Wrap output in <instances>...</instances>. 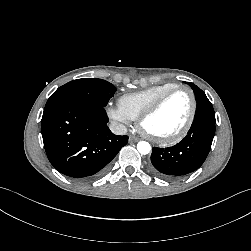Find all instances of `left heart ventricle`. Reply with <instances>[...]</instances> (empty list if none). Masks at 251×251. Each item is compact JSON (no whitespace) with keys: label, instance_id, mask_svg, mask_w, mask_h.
<instances>
[{"label":"left heart ventricle","instance_id":"b2bd125f","mask_svg":"<svg viewBox=\"0 0 251 251\" xmlns=\"http://www.w3.org/2000/svg\"><path fill=\"white\" fill-rule=\"evenodd\" d=\"M191 98L186 91L171 95L162 107L144 123V128L156 137H167L179 131L187 121Z\"/></svg>","mask_w":251,"mask_h":251}]
</instances>
